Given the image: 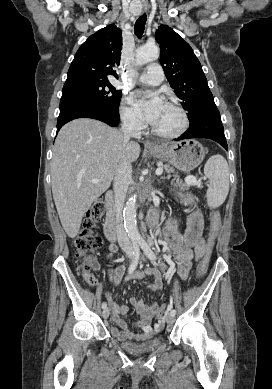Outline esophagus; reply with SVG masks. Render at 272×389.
<instances>
[{"label":"esophagus","instance_id":"esophagus-1","mask_svg":"<svg viewBox=\"0 0 272 389\" xmlns=\"http://www.w3.org/2000/svg\"><path fill=\"white\" fill-rule=\"evenodd\" d=\"M144 145L147 148H156L157 147V145L149 139L144 141Z\"/></svg>","mask_w":272,"mask_h":389}]
</instances>
